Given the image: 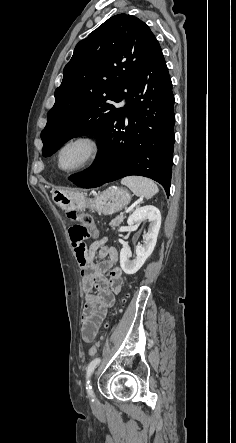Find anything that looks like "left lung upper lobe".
Listing matches in <instances>:
<instances>
[{
  "label": "left lung upper lobe",
  "instance_id": "1",
  "mask_svg": "<svg viewBox=\"0 0 236 443\" xmlns=\"http://www.w3.org/2000/svg\"><path fill=\"white\" fill-rule=\"evenodd\" d=\"M158 44L140 19L118 14L80 41L63 70L41 133L44 156L73 137L102 133Z\"/></svg>",
  "mask_w": 236,
  "mask_h": 443
}]
</instances>
